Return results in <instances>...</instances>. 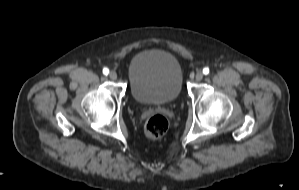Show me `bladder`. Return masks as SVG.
Here are the masks:
<instances>
[{
  "label": "bladder",
  "instance_id": "31cf9c89",
  "mask_svg": "<svg viewBox=\"0 0 299 190\" xmlns=\"http://www.w3.org/2000/svg\"><path fill=\"white\" fill-rule=\"evenodd\" d=\"M126 75L133 98L141 104H167L183 88V68L178 56L167 49L140 51L128 64Z\"/></svg>",
  "mask_w": 299,
  "mask_h": 190
}]
</instances>
